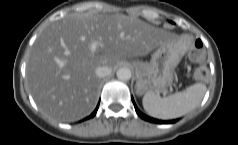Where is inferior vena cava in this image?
<instances>
[{"label":"inferior vena cava","instance_id":"602c4592","mask_svg":"<svg viewBox=\"0 0 238 145\" xmlns=\"http://www.w3.org/2000/svg\"><path fill=\"white\" fill-rule=\"evenodd\" d=\"M111 72H112V69L108 66H99L95 70V74L99 78L106 77V76L110 75Z\"/></svg>","mask_w":238,"mask_h":145}]
</instances>
